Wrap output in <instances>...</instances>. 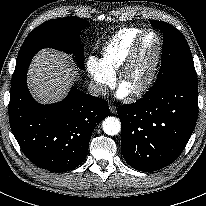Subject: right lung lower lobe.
<instances>
[{"mask_svg":"<svg viewBox=\"0 0 206 206\" xmlns=\"http://www.w3.org/2000/svg\"><path fill=\"white\" fill-rule=\"evenodd\" d=\"M8 111L12 133L26 157L51 172L79 166L93 129L109 115L104 99L75 88L58 103L39 104L29 93L26 74L11 84Z\"/></svg>","mask_w":206,"mask_h":206,"instance_id":"98d812e1","label":"right lung lower lobe"}]
</instances>
